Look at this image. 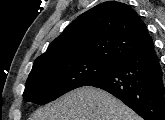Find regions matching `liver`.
<instances>
[{
  "instance_id": "liver-1",
  "label": "liver",
  "mask_w": 165,
  "mask_h": 120,
  "mask_svg": "<svg viewBox=\"0 0 165 120\" xmlns=\"http://www.w3.org/2000/svg\"><path fill=\"white\" fill-rule=\"evenodd\" d=\"M30 120H141V117L108 92L81 87L39 108Z\"/></svg>"
}]
</instances>
